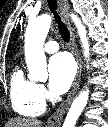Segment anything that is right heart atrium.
<instances>
[{
	"mask_svg": "<svg viewBox=\"0 0 108 127\" xmlns=\"http://www.w3.org/2000/svg\"><path fill=\"white\" fill-rule=\"evenodd\" d=\"M37 93L39 98L44 101L48 98V92L42 84H37Z\"/></svg>",
	"mask_w": 108,
	"mask_h": 127,
	"instance_id": "obj_1",
	"label": "right heart atrium"
}]
</instances>
